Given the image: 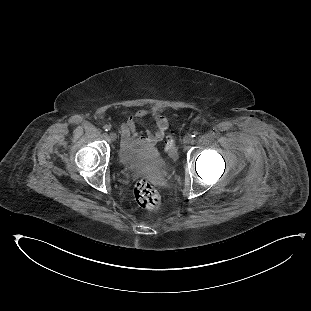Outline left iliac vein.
Masks as SVG:
<instances>
[{"label": "left iliac vein", "mask_w": 311, "mask_h": 311, "mask_svg": "<svg viewBox=\"0 0 311 311\" xmlns=\"http://www.w3.org/2000/svg\"><path fill=\"white\" fill-rule=\"evenodd\" d=\"M192 140V136L190 134H186L183 138V143L184 144H189Z\"/></svg>", "instance_id": "obj_1"}]
</instances>
